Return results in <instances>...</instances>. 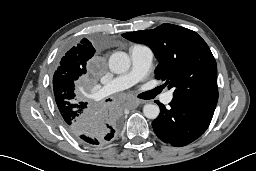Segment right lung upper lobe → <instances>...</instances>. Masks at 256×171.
<instances>
[{
    "label": "right lung upper lobe",
    "mask_w": 256,
    "mask_h": 171,
    "mask_svg": "<svg viewBox=\"0 0 256 171\" xmlns=\"http://www.w3.org/2000/svg\"><path fill=\"white\" fill-rule=\"evenodd\" d=\"M94 53L95 49L93 48L91 42L86 38H83L77 47H73L66 53L65 57L72 59L76 65L82 68V70L86 73V61L92 58ZM55 101L64 124L68 128L76 125L80 120V115L78 113L74 114V105H76V103H73L70 99L65 98H59Z\"/></svg>",
    "instance_id": "cb5924a9"
}]
</instances>
